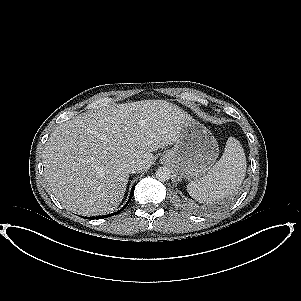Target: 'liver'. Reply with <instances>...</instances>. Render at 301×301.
Instances as JSON below:
<instances>
[{
    "label": "liver",
    "instance_id": "liver-1",
    "mask_svg": "<svg viewBox=\"0 0 301 301\" xmlns=\"http://www.w3.org/2000/svg\"><path fill=\"white\" fill-rule=\"evenodd\" d=\"M188 119L176 105L144 101L77 116L49 136L43 151L46 182L71 211L110 213L124 198L128 164L150 168L152 152L173 145Z\"/></svg>",
    "mask_w": 301,
    "mask_h": 301
}]
</instances>
